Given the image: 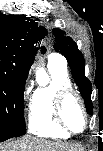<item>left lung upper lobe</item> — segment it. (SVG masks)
I'll return each instance as SVG.
<instances>
[{"instance_id": "obj_1", "label": "left lung upper lobe", "mask_w": 103, "mask_h": 151, "mask_svg": "<svg viewBox=\"0 0 103 151\" xmlns=\"http://www.w3.org/2000/svg\"><path fill=\"white\" fill-rule=\"evenodd\" d=\"M53 33L56 36L54 48L63 54L70 66L75 83L84 99L86 110L92 114L93 104L91 101L92 84L85 77V61L82 53L78 50L77 44L71 37L65 36V32L54 28Z\"/></svg>"}]
</instances>
